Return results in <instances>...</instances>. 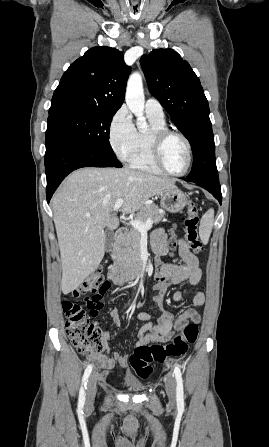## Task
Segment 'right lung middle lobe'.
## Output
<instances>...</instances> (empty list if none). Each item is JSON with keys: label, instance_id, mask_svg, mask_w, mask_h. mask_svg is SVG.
Segmentation results:
<instances>
[{"label": "right lung middle lobe", "instance_id": "1", "mask_svg": "<svg viewBox=\"0 0 269 447\" xmlns=\"http://www.w3.org/2000/svg\"><path fill=\"white\" fill-rule=\"evenodd\" d=\"M115 113L116 111L101 110H64L49 113L47 131L114 154L108 135Z\"/></svg>", "mask_w": 269, "mask_h": 447}]
</instances>
